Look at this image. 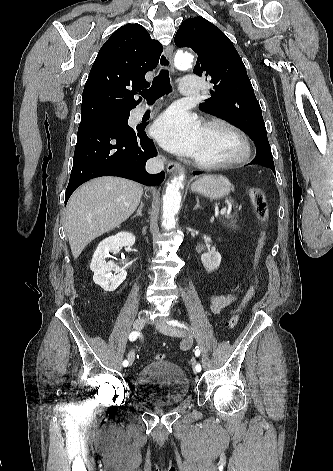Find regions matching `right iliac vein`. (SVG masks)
<instances>
[{"label":"right iliac vein","mask_w":333,"mask_h":471,"mask_svg":"<svg viewBox=\"0 0 333 471\" xmlns=\"http://www.w3.org/2000/svg\"><path fill=\"white\" fill-rule=\"evenodd\" d=\"M145 326V319L144 318H137L133 323V328L137 331H140ZM129 364L132 365L135 360V353L134 351H130L128 354Z\"/></svg>","instance_id":"63e3f726"}]
</instances>
